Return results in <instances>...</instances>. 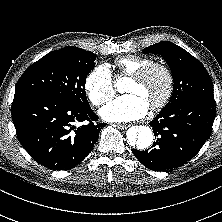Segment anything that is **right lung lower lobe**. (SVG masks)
<instances>
[{
  "label": "right lung lower lobe",
  "instance_id": "obj_1",
  "mask_svg": "<svg viewBox=\"0 0 222 222\" xmlns=\"http://www.w3.org/2000/svg\"><path fill=\"white\" fill-rule=\"evenodd\" d=\"M11 115L21 145L36 162L52 170L79 164L106 125L93 123L98 116L89 105L36 92L15 93ZM83 121L89 123L75 126Z\"/></svg>",
  "mask_w": 222,
  "mask_h": 222
}]
</instances>
